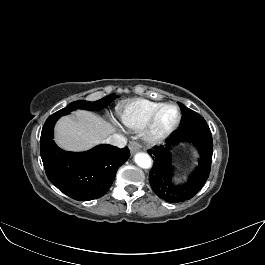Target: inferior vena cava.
<instances>
[{"instance_id": "602c4592", "label": "inferior vena cava", "mask_w": 265, "mask_h": 265, "mask_svg": "<svg viewBox=\"0 0 265 265\" xmlns=\"http://www.w3.org/2000/svg\"><path fill=\"white\" fill-rule=\"evenodd\" d=\"M106 144H110L113 146H117L119 148H123L126 146L127 140L125 137L119 135V134H112L108 138L104 140Z\"/></svg>"}]
</instances>
